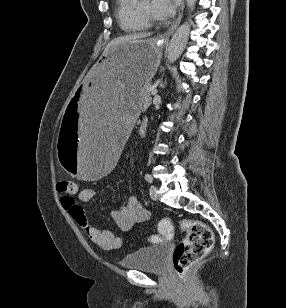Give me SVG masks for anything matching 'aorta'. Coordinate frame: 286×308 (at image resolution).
I'll list each match as a JSON object with an SVG mask.
<instances>
[{
	"mask_svg": "<svg viewBox=\"0 0 286 308\" xmlns=\"http://www.w3.org/2000/svg\"><path fill=\"white\" fill-rule=\"evenodd\" d=\"M187 7L192 11L195 7L196 0H186ZM190 34L189 22L183 23L177 28L174 35L171 38L167 49V59L169 62H175L182 54Z\"/></svg>",
	"mask_w": 286,
	"mask_h": 308,
	"instance_id": "obj_1",
	"label": "aorta"
}]
</instances>
